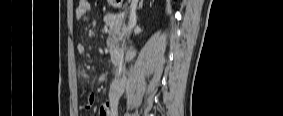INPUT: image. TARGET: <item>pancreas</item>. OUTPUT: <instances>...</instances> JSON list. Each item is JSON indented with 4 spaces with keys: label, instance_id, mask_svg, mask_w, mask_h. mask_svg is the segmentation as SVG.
<instances>
[{
    "label": "pancreas",
    "instance_id": "pancreas-1",
    "mask_svg": "<svg viewBox=\"0 0 283 116\" xmlns=\"http://www.w3.org/2000/svg\"><path fill=\"white\" fill-rule=\"evenodd\" d=\"M106 24L109 26L107 47L109 51L118 45L119 41H122L128 32L124 21V15L122 13L115 15H108L106 19Z\"/></svg>",
    "mask_w": 283,
    "mask_h": 116
}]
</instances>
